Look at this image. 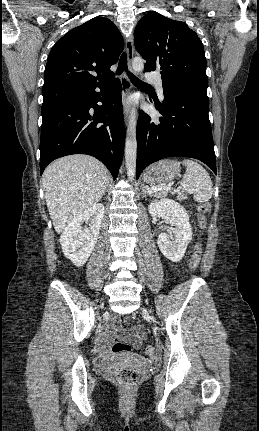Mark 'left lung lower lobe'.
Masks as SVG:
<instances>
[{
    "label": "left lung lower lobe",
    "instance_id": "left-lung-lower-lobe-1",
    "mask_svg": "<svg viewBox=\"0 0 259 431\" xmlns=\"http://www.w3.org/2000/svg\"><path fill=\"white\" fill-rule=\"evenodd\" d=\"M163 93L162 104L155 102L163 117L153 119L140 111L136 129V177L149 164L172 156L198 159L216 174L208 96L191 90L165 88Z\"/></svg>",
    "mask_w": 259,
    "mask_h": 431
}]
</instances>
